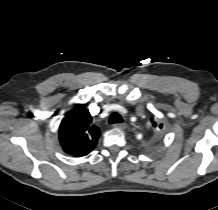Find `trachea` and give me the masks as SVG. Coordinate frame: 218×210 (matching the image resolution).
Returning a JSON list of instances; mask_svg holds the SVG:
<instances>
[{
	"label": "trachea",
	"instance_id": "trachea-1",
	"mask_svg": "<svg viewBox=\"0 0 218 210\" xmlns=\"http://www.w3.org/2000/svg\"><path fill=\"white\" fill-rule=\"evenodd\" d=\"M123 118L119 113H112L110 118H109V123L110 124H116V123H122Z\"/></svg>",
	"mask_w": 218,
	"mask_h": 210
}]
</instances>
